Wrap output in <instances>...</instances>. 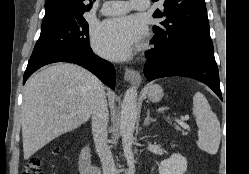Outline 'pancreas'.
Segmentation results:
<instances>
[{
    "instance_id": "1",
    "label": "pancreas",
    "mask_w": 249,
    "mask_h": 174,
    "mask_svg": "<svg viewBox=\"0 0 249 174\" xmlns=\"http://www.w3.org/2000/svg\"><path fill=\"white\" fill-rule=\"evenodd\" d=\"M175 129L181 131L180 127H178V126H175ZM182 133H183V135L187 134V132H184V131H182Z\"/></svg>"
}]
</instances>
